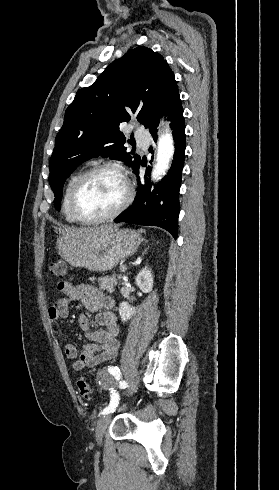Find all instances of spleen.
I'll list each match as a JSON object with an SVG mask.
<instances>
[{
  "label": "spleen",
  "mask_w": 279,
  "mask_h": 490,
  "mask_svg": "<svg viewBox=\"0 0 279 490\" xmlns=\"http://www.w3.org/2000/svg\"><path fill=\"white\" fill-rule=\"evenodd\" d=\"M139 232H144V230H139Z\"/></svg>",
  "instance_id": "1"
}]
</instances>
